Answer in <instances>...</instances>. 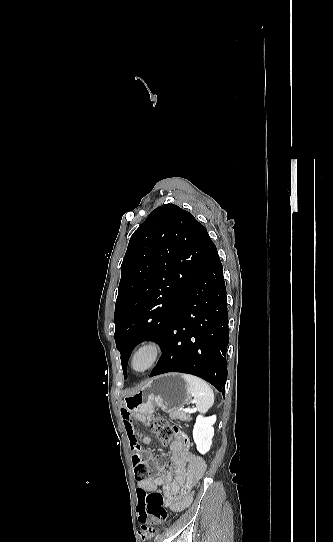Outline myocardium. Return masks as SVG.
I'll return each instance as SVG.
<instances>
[{"instance_id":"myocardium-1","label":"myocardium","mask_w":333,"mask_h":542,"mask_svg":"<svg viewBox=\"0 0 333 542\" xmlns=\"http://www.w3.org/2000/svg\"><path fill=\"white\" fill-rule=\"evenodd\" d=\"M163 349L155 340H146L140 343L133 351L129 368L135 374H144L155 367L161 360Z\"/></svg>"}]
</instances>
